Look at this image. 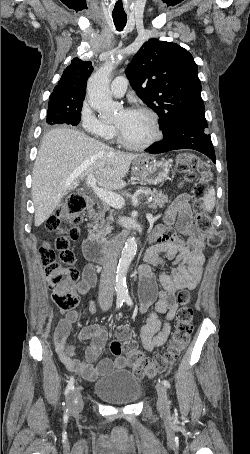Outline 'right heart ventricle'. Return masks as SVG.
Here are the masks:
<instances>
[{"label": "right heart ventricle", "mask_w": 250, "mask_h": 454, "mask_svg": "<svg viewBox=\"0 0 250 454\" xmlns=\"http://www.w3.org/2000/svg\"><path fill=\"white\" fill-rule=\"evenodd\" d=\"M113 135V131L111 133H109L106 137H111Z\"/></svg>", "instance_id": "e07e8e85"}]
</instances>
